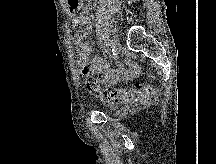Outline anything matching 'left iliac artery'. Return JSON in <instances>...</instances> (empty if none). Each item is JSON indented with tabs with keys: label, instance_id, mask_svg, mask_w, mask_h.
<instances>
[{
	"label": "left iliac artery",
	"instance_id": "obj_1",
	"mask_svg": "<svg viewBox=\"0 0 216 164\" xmlns=\"http://www.w3.org/2000/svg\"><path fill=\"white\" fill-rule=\"evenodd\" d=\"M106 46L109 47V49L111 50L112 52V56L115 58L117 56V53H116V49L114 48L113 45H111V40L109 39V35H106Z\"/></svg>",
	"mask_w": 216,
	"mask_h": 164
}]
</instances>
